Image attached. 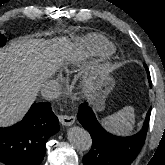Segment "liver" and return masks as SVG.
Listing matches in <instances>:
<instances>
[{
  "mask_svg": "<svg viewBox=\"0 0 165 165\" xmlns=\"http://www.w3.org/2000/svg\"><path fill=\"white\" fill-rule=\"evenodd\" d=\"M53 49L43 41L27 38L0 49V127L20 121L44 81L59 68Z\"/></svg>",
  "mask_w": 165,
  "mask_h": 165,
  "instance_id": "1",
  "label": "liver"
}]
</instances>
